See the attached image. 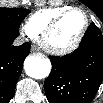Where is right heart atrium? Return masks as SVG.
<instances>
[{
  "label": "right heart atrium",
  "mask_w": 103,
  "mask_h": 103,
  "mask_svg": "<svg viewBox=\"0 0 103 103\" xmlns=\"http://www.w3.org/2000/svg\"><path fill=\"white\" fill-rule=\"evenodd\" d=\"M24 32H25V34H27L29 36L28 32L25 29H24Z\"/></svg>",
  "instance_id": "1"
}]
</instances>
